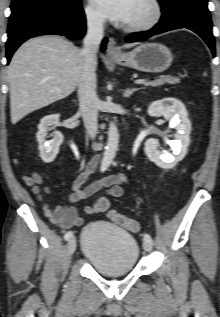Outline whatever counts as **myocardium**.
<instances>
[{
	"mask_svg": "<svg viewBox=\"0 0 220 317\" xmlns=\"http://www.w3.org/2000/svg\"><path fill=\"white\" fill-rule=\"evenodd\" d=\"M146 2L150 5L152 10L150 17L138 23L124 25L123 29L125 31L132 33L147 31L160 22L163 16V6L160 0H146Z\"/></svg>",
	"mask_w": 220,
	"mask_h": 317,
	"instance_id": "1",
	"label": "myocardium"
}]
</instances>
